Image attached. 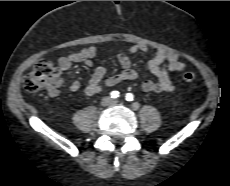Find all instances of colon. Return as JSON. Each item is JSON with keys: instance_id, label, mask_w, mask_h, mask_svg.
Instances as JSON below:
<instances>
[{"instance_id": "1", "label": "colon", "mask_w": 230, "mask_h": 186, "mask_svg": "<svg viewBox=\"0 0 230 186\" xmlns=\"http://www.w3.org/2000/svg\"><path fill=\"white\" fill-rule=\"evenodd\" d=\"M184 82H193L197 74L186 71L181 75ZM63 84V78L58 67L48 59L37 61L24 79V87L29 92L45 91L51 95L58 93Z\"/></svg>"}]
</instances>
